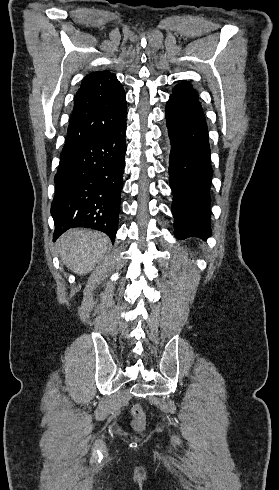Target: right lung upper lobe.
Here are the masks:
<instances>
[{"mask_svg":"<svg viewBox=\"0 0 279 490\" xmlns=\"http://www.w3.org/2000/svg\"><path fill=\"white\" fill-rule=\"evenodd\" d=\"M125 92L115 74H88L75 99L64 148L99 137L126 120Z\"/></svg>","mask_w":279,"mask_h":490,"instance_id":"cb5924a9","label":"right lung upper lobe"}]
</instances>
